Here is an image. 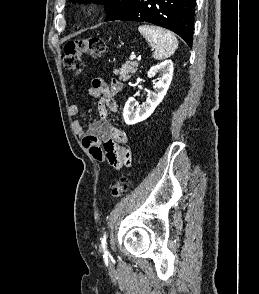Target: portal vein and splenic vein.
<instances>
[{"instance_id":"portal-vein-and-splenic-vein-1","label":"portal vein and splenic vein","mask_w":259,"mask_h":294,"mask_svg":"<svg viewBox=\"0 0 259 294\" xmlns=\"http://www.w3.org/2000/svg\"><path fill=\"white\" fill-rule=\"evenodd\" d=\"M136 58V55H131L130 60H134Z\"/></svg>"}]
</instances>
